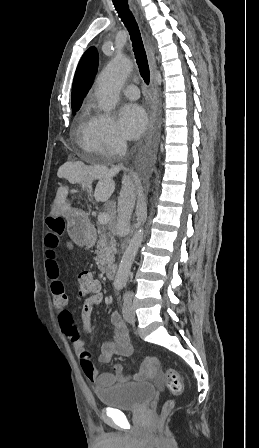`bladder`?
<instances>
[{
	"instance_id": "1",
	"label": "bladder",
	"mask_w": 259,
	"mask_h": 448,
	"mask_svg": "<svg viewBox=\"0 0 259 448\" xmlns=\"http://www.w3.org/2000/svg\"><path fill=\"white\" fill-rule=\"evenodd\" d=\"M154 393L155 387L151 383H121L95 390V396L101 404L121 410L144 407Z\"/></svg>"
}]
</instances>
